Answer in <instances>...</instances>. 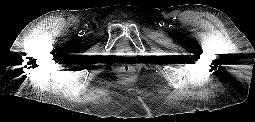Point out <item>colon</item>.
Instances as JSON below:
<instances>
[{
	"label": "colon",
	"instance_id": "colon-1",
	"mask_svg": "<svg viewBox=\"0 0 255 122\" xmlns=\"http://www.w3.org/2000/svg\"><path fill=\"white\" fill-rule=\"evenodd\" d=\"M123 70H124V71H128V67H124Z\"/></svg>",
	"mask_w": 255,
	"mask_h": 122
}]
</instances>
